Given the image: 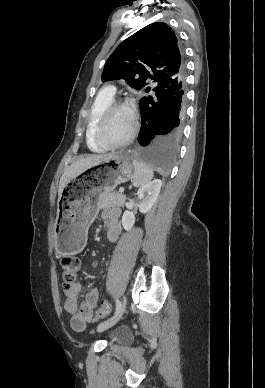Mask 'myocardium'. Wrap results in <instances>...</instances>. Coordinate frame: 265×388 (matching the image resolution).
<instances>
[{
    "instance_id": "obj_1",
    "label": "myocardium",
    "mask_w": 265,
    "mask_h": 388,
    "mask_svg": "<svg viewBox=\"0 0 265 388\" xmlns=\"http://www.w3.org/2000/svg\"><path fill=\"white\" fill-rule=\"evenodd\" d=\"M108 91H112V90H108ZM117 109H122V110L128 111V107L125 104L112 102V103L108 104L106 107H104V109L100 112V114L95 122L94 132H93L94 139L99 145H101L103 147H108V148L123 147V146L127 145L135 137V135L137 133L136 124L133 120H131V127H130L129 132L119 141L108 142L101 136V127H102V124H103L106 116L111 111L117 110Z\"/></svg>"
}]
</instances>
